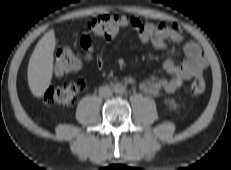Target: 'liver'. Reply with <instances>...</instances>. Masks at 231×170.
Returning a JSON list of instances; mask_svg holds the SVG:
<instances>
[{
  "mask_svg": "<svg viewBox=\"0 0 231 170\" xmlns=\"http://www.w3.org/2000/svg\"><path fill=\"white\" fill-rule=\"evenodd\" d=\"M56 39L49 30L37 43L28 64V84L32 94L40 98L51 84Z\"/></svg>",
  "mask_w": 231,
  "mask_h": 170,
  "instance_id": "6515ba94",
  "label": "liver"
}]
</instances>
